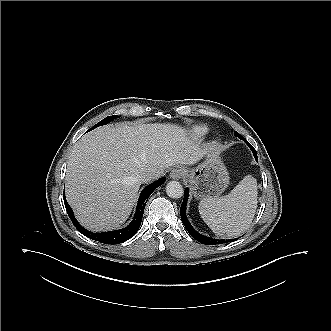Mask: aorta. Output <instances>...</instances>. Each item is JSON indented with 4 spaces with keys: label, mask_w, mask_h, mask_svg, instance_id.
<instances>
[{
    "label": "aorta",
    "mask_w": 331,
    "mask_h": 331,
    "mask_svg": "<svg viewBox=\"0 0 331 331\" xmlns=\"http://www.w3.org/2000/svg\"><path fill=\"white\" fill-rule=\"evenodd\" d=\"M183 186L178 181H170L166 185V194L173 199H178L183 196Z\"/></svg>",
    "instance_id": "762f6f07"
}]
</instances>
